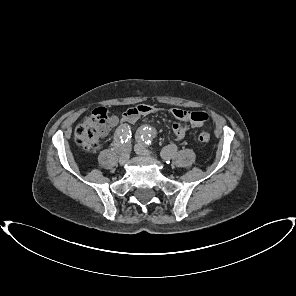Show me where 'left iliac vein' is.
I'll list each match as a JSON object with an SVG mask.
<instances>
[{"label": "left iliac vein", "instance_id": "obj_1", "mask_svg": "<svg viewBox=\"0 0 296 296\" xmlns=\"http://www.w3.org/2000/svg\"><path fill=\"white\" fill-rule=\"evenodd\" d=\"M135 151L138 155L145 156L151 158L150 151L145 147L142 142H139L135 145Z\"/></svg>", "mask_w": 296, "mask_h": 296}]
</instances>
